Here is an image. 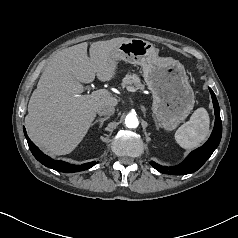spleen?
<instances>
[{
	"label": "spleen",
	"mask_w": 238,
	"mask_h": 238,
	"mask_svg": "<svg viewBox=\"0 0 238 238\" xmlns=\"http://www.w3.org/2000/svg\"><path fill=\"white\" fill-rule=\"evenodd\" d=\"M210 119L205 108H198L188 122L181 125L175 133L176 142L184 149L200 146L209 136Z\"/></svg>",
	"instance_id": "1"
}]
</instances>
